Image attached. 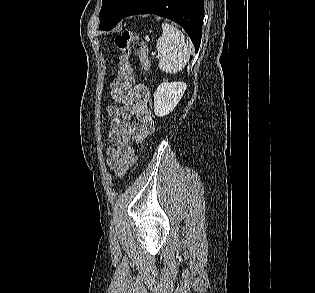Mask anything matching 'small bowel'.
<instances>
[{
    "label": "small bowel",
    "instance_id": "small-bowel-1",
    "mask_svg": "<svg viewBox=\"0 0 315 293\" xmlns=\"http://www.w3.org/2000/svg\"><path fill=\"white\" fill-rule=\"evenodd\" d=\"M118 93L111 91L117 103L107 107L111 117L107 148L108 164L118 170L134 153L131 141L142 143L155 130V122L148 106L149 90L142 84L126 85L125 80ZM135 119V122L132 120Z\"/></svg>",
    "mask_w": 315,
    "mask_h": 293
}]
</instances>
